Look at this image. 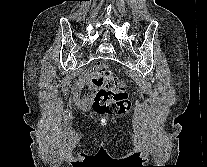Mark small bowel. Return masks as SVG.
Listing matches in <instances>:
<instances>
[{"label":"small bowel","instance_id":"obj_1","mask_svg":"<svg viewBox=\"0 0 207 167\" xmlns=\"http://www.w3.org/2000/svg\"><path fill=\"white\" fill-rule=\"evenodd\" d=\"M83 88H87L88 92H86L83 96H81V91ZM96 88L92 85L90 81V75L85 74L75 83L71 90V95L75 101V103L82 109H87L95 95Z\"/></svg>","mask_w":207,"mask_h":167}]
</instances>
